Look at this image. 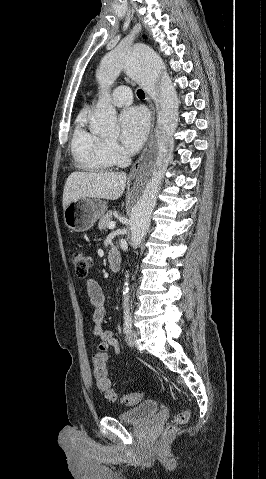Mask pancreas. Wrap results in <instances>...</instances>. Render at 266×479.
Returning <instances> with one entry per match:
<instances>
[{
    "label": "pancreas",
    "instance_id": "1",
    "mask_svg": "<svg viewBox=\"0 0 266 479\" xmlns=\"http://www.w3.org/2000/svg\"><path fill=\"white\" fill-rule=\"evenodd\" d=\"M112 221V213L109 211L100 217L98 227L100 230H104L108 227L109 222Z\"/></svg>",
    "mask_w": 266,
    "mask_h": 479
}]
</instances>
